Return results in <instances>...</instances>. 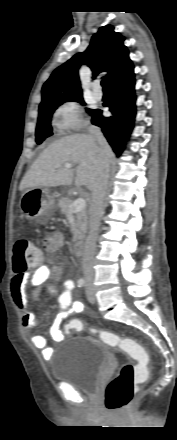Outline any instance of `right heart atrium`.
Segmentation results:
<instances>
[{"instance_id":"obj_1","label":"right heart atrium","mask_w":177,"mask_h":440,"mask_svg":"<svg viewBox=\"0 0 177 440\" xmlns=\"http://www.w3.org/2000/svg\"><path fill=\"white\" fill-rule=\"evenodd\" d=\"M54 124L61 130H78L84 123L80 106L74 101L62 103L53 114Z\"/></svg>"}]
</instances>
